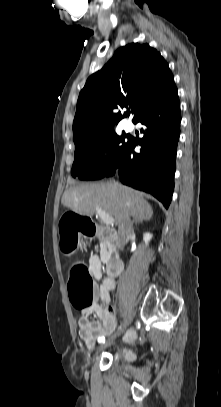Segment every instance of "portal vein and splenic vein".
<instances>
[{
    "mask_svg": "<svg viewBox=\"0 0 221 407\" xmlns=\"http://www.w3.org/2000/svg\"><path fill=\"white\" fill-rule=\"evenodd\" d=\"M97 214L102 220V222L105 223L106 225L114 224V218L110 214L103 211L102 209H97Z\"/></svg>",
    "mask_w": 221,
    "mask_h": 407,
    "instance_id": "portal-vein-and-splenic-vein-1",
    "label": "portal vein and splenic vein"
}]
</instances>
